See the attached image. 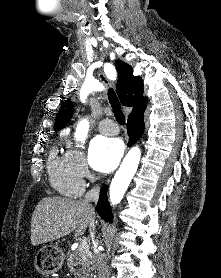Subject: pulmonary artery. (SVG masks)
Returning <instances> with one entry per match:
<instances>
[{
	"label": "pulmonary artery",
	"instance_id": "e3ab8cb5",
	"mask_svg": "<svg viewBox=\"0 0 221 278\" xmlns=\"http://www.w3.org/2000/svg\"><path fill=\"white\" fill-rule=\"evenodd\" d=\"M99 128L106 135H115L119 132L118 127L111 120L102 121Z\"/></svg>",
	"mask_w": 221,
	"mask_h": 278
}]
</instances>
